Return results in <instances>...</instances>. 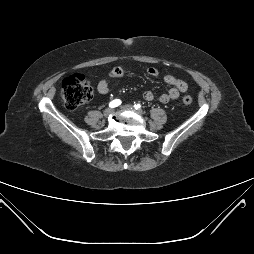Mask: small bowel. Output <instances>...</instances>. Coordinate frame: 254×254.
Here are the masks:
<instances>
[{"instance_id":"c3829d8e","label":"small bowel","mask_w":254,"mask_h":254,"mask_svg":"<svg viewBox=\"0 0 254 254\" xmlns=\"http://www.w3.org/2000/svg\"><path fill=\"white\" fill-rule=\"evenodd\" d=\"M124 71L120 67H114L109 72L106 78L101 79L97 84V90L100 94H107L109 92V82L110 80L117 79L122 77ZM147 74L151 77H157L159 75V71L150 67L147 69ZM164 82L170 86L168 92L163 93L159 96V101L161 103L167 104L172 100H175L179 97L180 93L185 92L188 89L187 83L178 77L172 75H166L164 77ZM143 97L146 101H153L155 99V95L152 91H146L143 94Z\"/></svg>"}]
</instances>
